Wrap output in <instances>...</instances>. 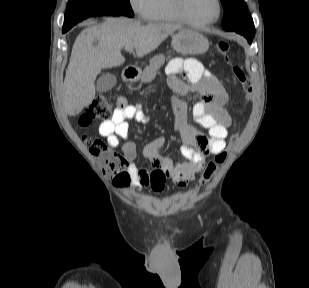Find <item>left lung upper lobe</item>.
<instances>
[{"label": "left lung upper lobe", "mask_w": 309, "mask_h": 288, "mask_svg": "<svg viewBox=\"0 0 309 288\" xmlns=\"http://www.w3.org/2000/svg\"><path fill=\"white\" fill-rule=\"evenodd\" d=\"M224 8L222 26L225 30L253 22L243 0H221Z\"/></svg>", "instance_id": "5c2ea615"}]
</instances>
